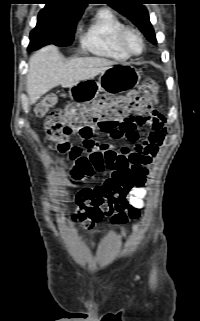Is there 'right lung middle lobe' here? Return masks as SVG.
<instances>
[{"instance_id": "dd1d6c3e", "label": "right lung middle lobe", "mask_w": 200, "mask_h": 321, "mask_svg": "<svg viewBox=\"0 0 200 321\" xmlns=\"http://www.w3.org/2000/svg\"><path fill=\"white\" fill-rule=\"evenodd\" d=\"M83 12L68 15H55L43 8L38 15L36 27L30 33L28 51L47 44L68 46L72 44L76 24Z\"/></svg>"}]
</instances>
